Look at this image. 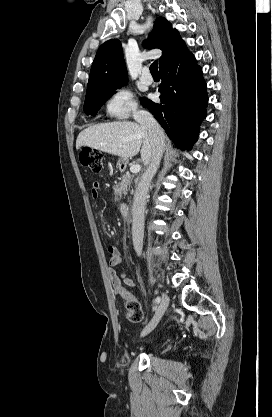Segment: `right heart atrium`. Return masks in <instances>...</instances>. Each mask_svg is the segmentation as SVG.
I'll return each instance as SVG.
<instances>
[{
    "label": "right heart atrium",
    "mask_w": 272,
    "mask_h": 417,
    "mask_svg": "<svg viewBox=\"0 0 272 417\" xmlns=\"http://www.w3.org/2000/svg\"><path fill=\"white\" fill-rule=\"evenodd\" d=\"M105 108L110 116L117 119H125L139 112L133 93L126 87L116 89L108 98Z\"/></svg>",
    "instance_id": "right-heart-atrium-1"
}]
</instances>
